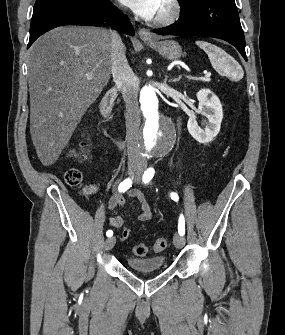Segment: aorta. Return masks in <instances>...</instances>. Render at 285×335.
<instances>
[{"mask_svg": "<svg viewBox=\"0 0 285 335\" xmlns=\"http://www.w3.org/2000/svg\"><path fill=\"white\" fill-rule=\"evenodd\" d=\"M136 97H139L141 111L146 116L144 125L137 127L139 147L144 156L157 160L158 156L172 152L178 130L173 119H165L163 102H166V95H159V90L153 86H144L142 90H136Z\"/></svg>", "mask_w": 285, "mask_h": 335, "instance_id": "aorta-1", "label": "aorta"}]
</instances>
